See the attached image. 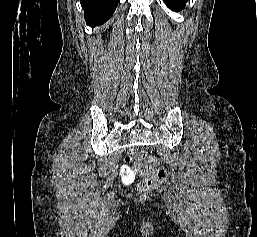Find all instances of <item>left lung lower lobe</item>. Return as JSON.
<instances>
[{
    "mask_svg": "<svg viewBox=\"0 0 257 237\" xmlns=\"http://www.w3.org/2000/svg\"><path fill=\"white\" fill-rule=\"evenodd\" d=\"M165 4L176 12L182 10L188 0H163Z\"/></svg>",
    "mask_w": 257,
    "mask_h": 237,
    "instance_id": "1",
    "label": "left lung lower lobe"
}]
</instances>
